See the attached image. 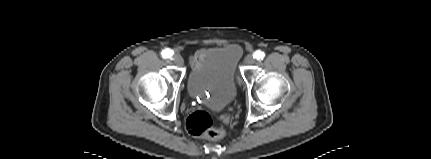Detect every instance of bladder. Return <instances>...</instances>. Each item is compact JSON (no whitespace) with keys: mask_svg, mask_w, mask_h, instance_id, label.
Masks as SVG:
<instances>
[{"mask_svg":"<svg viewBox=\"0 0 431 159\" xmlns=\"http://www.w3.org/2000/svg\"><path fill=\"white\" fill-rule=\"evenodd\" d=\"M240 58L241 49L235 44L205 51L187 78L190 97L214 111L228 108L237 95L235 75Z\"/></svg>","mask_w":431,"mask_h":159,"instance_id":"1","label":"bladder"}]
</instances>
